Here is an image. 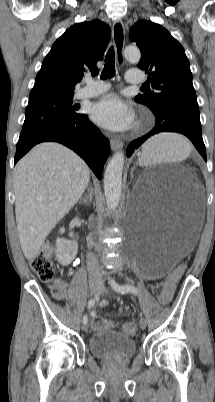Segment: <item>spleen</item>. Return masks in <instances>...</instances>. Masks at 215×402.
Returning <instances> with one entry per match:
<instances>
[{"label": "spleen", "instance_id": "obj_1", "mask_svg": "<svg viewBox=\"0 0 215 402\" xmlns=\"http://www.w3.org/2000/svg\"><path fill=\"white\" fill-rule=\"evenodd\" d=\"M190 152L188 142L179 135L162 134L149 140L142 151V159L146 164L162 161H179Z\"/></svg>", "mask_w": 215, "mask_h": 402}]
</instances>
